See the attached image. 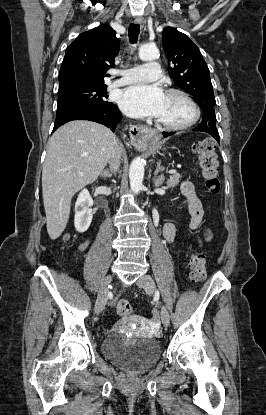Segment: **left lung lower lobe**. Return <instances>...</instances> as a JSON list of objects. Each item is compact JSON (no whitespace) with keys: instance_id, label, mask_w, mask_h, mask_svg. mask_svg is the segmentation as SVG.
<instances>
[{"instance_id":"1","label":"left lung lower lobe","mask_w":266,"mask_h":415,"mask_svg":"<svg viewBox=\"0 0 266 415\" xmlns=\"http://www.w3.org/2000/svg\"><path fill=\"white\" fill-rule=\"evenodd\" d=\"M173 134V132H163V136L164 137H167V136H170V135H172ZM217 141H218V143H219V139H220V137H216L215 138Z\"/></svg>"}]
</instances>
